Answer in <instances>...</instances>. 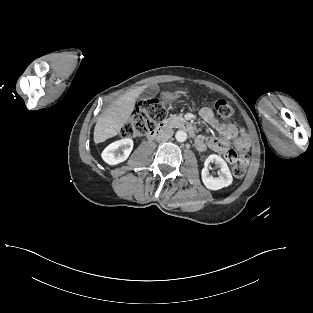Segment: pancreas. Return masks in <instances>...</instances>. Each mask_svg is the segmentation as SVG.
Instances as JSON below:
<instances>
[{
	"label": "pancreas",
	"mask_w": 313,
	"mask_h": 313,
	"mask_svg": "<svg viewBox=\"0 0 313 313\" xmlns=\"http://www.w3.org/2000/svg\"><path fill=\"white\" fill-rule=\"evenodd\" d=\"M178 118H181V117H177L175 115L171 116L168 121L171 122V123H174Z\"/></svg>",
	"instance_id": "obj_1"
}]
</instances>
